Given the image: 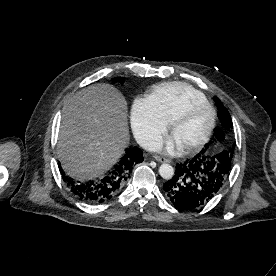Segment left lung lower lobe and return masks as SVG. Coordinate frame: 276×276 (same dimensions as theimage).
Listing matches in <instances>:
<instances>
[{
	"label": "left lung lower lobe",
	"mask_w": 276,
	"mask_h": 276,
	"mask_svg": "<svg viewBox=\"0 0 276 276\" xmlns=\"http://www.w3.org/2000/svg\"><path fill=\"white\" fill-rule=\"evenodd\" d=\"M221 170L203 154L176 165L175 175L163 189L178 208L194 209L208 203L221 189L224 181ZM222 185V186H221Z\"/></svg>",
	"instance_id": "0a47b994"
}]
</instances>
